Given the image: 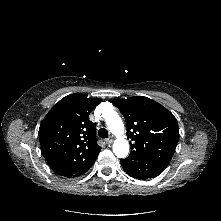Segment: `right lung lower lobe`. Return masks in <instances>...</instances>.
Here are the masks:
<instances>
[{"instance_id":"obj_1","label":"right lung lower lobe","mask_w":221,"mask_h":221,"mask_svg":"<svg viewBox=\"0 0 221 221\" xmlns=\"http://www.w3.org/2000/svg\"><path fill=\"white\" fill-rule=\"evenodd\" d=\"M94 162H95V161H94ZM94 162H92L91 164H89L88 166H86L84 169H82V170H81L80 172H78L77 174L73 175L72 178L78 177V176L84 174L85 172H87V171L90 169V167L94 164Z\"/></svg>"}]
</instances>
